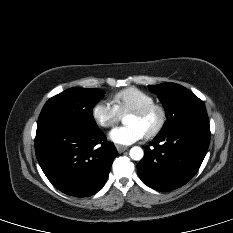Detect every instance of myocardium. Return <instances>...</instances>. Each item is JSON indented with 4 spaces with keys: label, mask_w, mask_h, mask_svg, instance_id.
Masks as SVG:
<instances>
[{
    "label": "myocardium",
    "mask_w": 233,
    "mask_h": 233,
    "mask_svg": "<svg viewBox=\"0 0 233 233\" xmlns=\"http://www.w3.org/2000/svg\"><path fill=\"white\" fill-rule=\"evenodd\" d=\"M152 111L158 112L159 119L156 126L151 131L146 133L147 138H153L163 130L167 120V112L165 107L160 103L152 102L129 112V114L141 117L149 114Z\"/></svg>",
    "instance_id": "f54148a6"
}]
</instances>
